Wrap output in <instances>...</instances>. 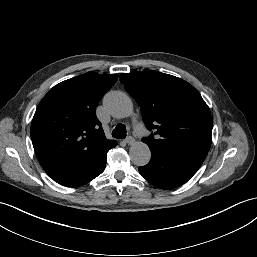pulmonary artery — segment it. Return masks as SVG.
<instances>
[{
  "label": "pulmonary artery",
  "instance_id": "obj_1",
  "mask_svg": "<svg viewBox=\"0 0 257 257\" xmlns=\"http://www.w3.org/2000/svg\"><path fill=\"white\" fill-rule=\"evenodd\" d=\"M134 130L138 134H143L145 132V128L141 123H135L134 124Z\"/></svg>",
  "mask_w": 257,
  "mask_h": 257
}]
</instances>
